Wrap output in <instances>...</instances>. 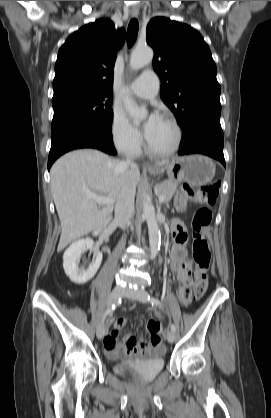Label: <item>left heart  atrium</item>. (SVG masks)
I'll return each mask as SVG.
<instances>
[{
	"label": "left heart atrium",
	"instance_id": "1",
	"mask_svg": "<svg viewBox=\"0 0 271 418\" xmlns=\"http://www.w3.org/2000/svg\"><path fill=\"white\" fill-rule=\"evenodd\" d=\"M160 119L161 117L155 112L149 115L148 119L146 120L143 126V131L146 138H148L152 134Z\"/></svg>",
	"mask_w": 271,
	"mask_h": 418
}]
</instances>
